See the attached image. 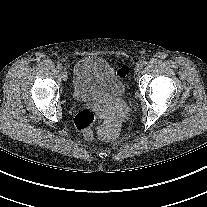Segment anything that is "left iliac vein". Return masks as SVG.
<instances>
[{"instance_id": "obj_1", "label": "left iliac vein", "mask_w": 207, "mask_h": 207, "mask_svg": "<svg viewBox=\"0 0 207 207\" xmlns=\"http://www.w3.org/2000/svg\"><path fill=\"white\" fill-rule=\"evenodd\" d=\"M141 70H142V67H141V65H140V63H139V64H137V66L135 67V73H136V74H139V73L141 72Z\"/></svg>"}]
</instances>
